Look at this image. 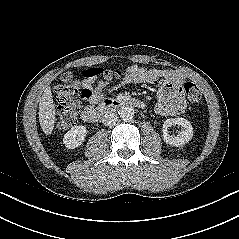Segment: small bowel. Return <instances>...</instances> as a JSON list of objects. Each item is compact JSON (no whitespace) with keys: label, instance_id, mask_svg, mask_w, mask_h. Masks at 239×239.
I'll return each mask as SVG.
<instances>
[{"label":"small bowel","instance_id":"small-bowel-1","mask_svg":"<svg viewBox=\"0 0 239 239\" xmlns=\"http://www.w3.org/2000/svg\"><path fill=\"white\" fill-rule=\"evenodd\" d=\"M96 68L83 72L81 80V96L91 104L98 103L104 96V84H97ZM159 79L164 83L158 89L156 111L162 116H172L185 107V99L180 91L181 77L166 70L131 65L127 68L126 82L138 84H152Z\"/></svg>","mask_w":239,"mask_h":239}]
</instances>
